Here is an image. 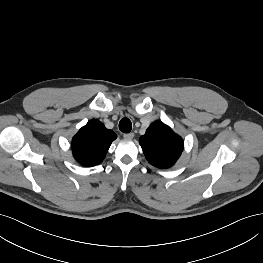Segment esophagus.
<instances>
[{
    "label": "esophagus",
    "instance_id": "1",
    "mask_svg": "<svg viewBox=\"0 0 263 263\" xmlns=\"http://www.w3.org/2000/svg\"><path fill=\"white\" fill-rule=\"evenodd\" d=\"M124 139L126 140H132L134 138V133H126L123 135Z\"/></svg>",
    "mask_w": 263,
    "mask_h": 263
}]
</instances>
